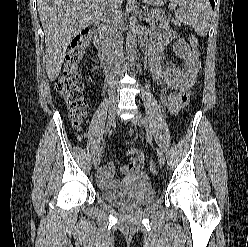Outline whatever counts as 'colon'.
I'll return each mask as SVG.
<instances>
[{
  "label": "colon",
  "instance_id": "colon-1",
  "mask_svg": "<svg viewBox=\"0 0 248 247\" xmlns=\"http://www.w3.org/2000/svg\"><path fill=\"white\" fill-rule=\"evenodd\" d=\"M91 38L92 31L83 32L74 38L66 54L61 75L55 85L57 93L68 107L73 126L78 129L81 128L86 118L84 82L78 67ZM189 44L192 47H197V38L191 36L189 38ZM159 104L163 109L169 110L171 104V89L169 87H165L161 90L159 94ZM149 169L152 174H157V166L153 161H150Z\"/></svg>",
  "mask_w": 248,
  "mask_h": 247
}]
</instances>
